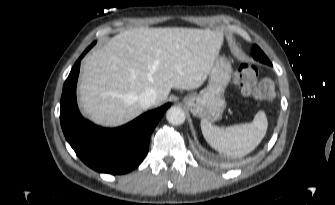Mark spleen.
Masks as SVG:
<instances>
[{
    "label": "spleen",
    "mask_w": 335,
    "mask_h": 205,
    "mask_svg": "<svg viewBox=\"0 0 335 205\" xmlns=\"http://www.w3.org/2000/svg\"><path fill=\"white\" fill-rule=\"evenodd\" d=\"M268 127L264 111H259L251 123L226 128L201 120V130L207 143L227 157L240 158L253 151L266 135Z\"/></svg>",
    "instance_id": "3e777b00"
}]
</instances>
